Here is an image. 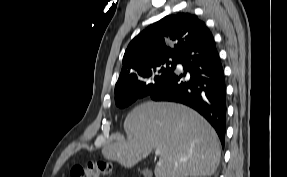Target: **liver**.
<instances>
[{"mask_svg":"<svg viewBox=\"0 0 287 177\" xmlns=\"http://www.w3.org/2000/svg\"><path fill=\"white\" fill-rule=\"evenodd\" d=\"M128 139L108 144L102 154L133 167L160 150L155 177L211 176L220 162V142L211 125L194 110L176 103L148 101L124 121Z\"/></svg>","mask_w":287,"mask_h":177,"instance_id":"obj_1","label":"liver"}]
</instances>
